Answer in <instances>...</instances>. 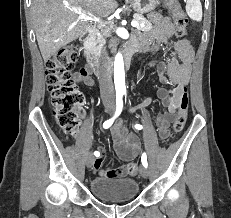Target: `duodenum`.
Returning a JSON list of instances; mask_svg holds the SVG:
<instances>
[{"mask_svg":"<svg viewBox=\"0 0 231 218\" xmlns=\"http://www.w3.org/2000/svg\"><path fill=\"white\" fill-rule=\"evenodd\" d=\"M95 26L94 25H89L85 31V33L81 36V40L86 43L88 42L91 37L94 35L95 33ZM136 54V50L134 48H129L126 53H125V61L127 64H130V62L132 61V59L134 58ZM87 65L88 68L95 74L97 75H101L104 72V67L103 64L101 62V59L95 55V54H90L88 55L87 58Z\"/></svg>","mask_w":231,"mask_h":218,"instance_id":"duodenum-1","label":"duodenum"}]
</instances>
